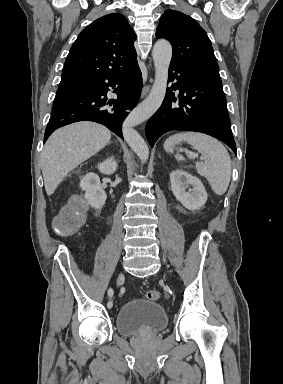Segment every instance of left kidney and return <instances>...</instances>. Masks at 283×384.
Returning <instances> with one entry per match:
<instances>
[{
  "mask_svg": "<svg viewBox=\"0 0 283 384\" xmlns=\"http://www.w3.org/2000/svg\"><path fill=\"white\" fill-rule=\"evenodd\" d=\"M172 192L187 210H199L207 202V192L199 178L183 172V170H173L170 174ZM191 186L189 192L187 188Z\"/></svg>",
  "mask_w": 283,
  "mask_h": 384,
  "instance_id": "1",
  "label": "left kidney"
}]
</instances>
